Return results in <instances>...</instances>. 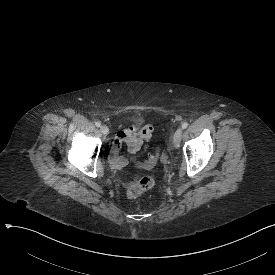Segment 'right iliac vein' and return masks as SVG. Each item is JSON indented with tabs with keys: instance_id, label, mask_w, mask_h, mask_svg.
Segmentation results:
<instances>
[{
	"instance_id": "1",
	"label": "right iliac vein",
	"mask_w": 275,
	"mask_h": 275,
	"mask_svg": "<svg viewBox=\"0 0 275 275\" xmlns=\"http://www.w3.org/2000/svg\"><path fill=\"white\" fill-rule=\"evenodd\" d=\"M100 130L104 135H107L109 133V128L105 125L101 126Z\"/></svg>"
}]
</instances>
